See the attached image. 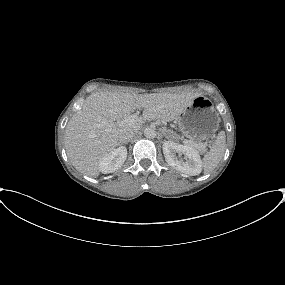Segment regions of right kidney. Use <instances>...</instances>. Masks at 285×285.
<instances>
[{"label":"right kidney","mask_w":285,"mask_h":285,"mask_svg":"<svg viewBox=\"0 0 285 285\" xmlns=\"http://www.w3.org/2000/svg\"><path fill=\"white\" fill-rule=\"evenodd\" d=\"M127 158L126 147H118L105 155L99 162V171L108 174L117 171Z\"/></svg>","instance_id":"ca27d5eb"}]
</instances>
